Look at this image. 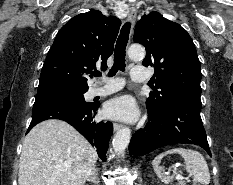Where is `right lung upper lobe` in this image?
<instances>
[{"label":"right lung upper lobe","instance_id":"right-lung-upper-lobe-1","mask_svg":"<svg viewBox=\"0 0 233 185\" xmlns=\"http://www.w3.org/2000/svg\"><path fill=\"white\" fill-rule=\"evenodd\" d=\"M121 21L98 10L79 14L57 33L42 67L38 90L88 89L96 63L106 65ZM90 77H92L90 75Z\"/></svg>","mask_w":233,"mask_h":185}]
</instances>
